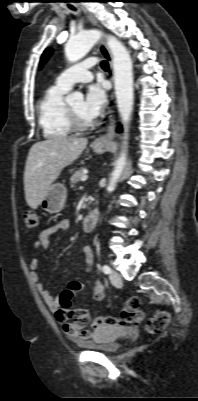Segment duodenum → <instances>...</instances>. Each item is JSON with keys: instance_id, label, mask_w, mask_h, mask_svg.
I'll return each mask as SVG.
<instances>
[{"instance_id": "duodenum-1", "label": "duodenum", "mask_w": 198, "mask_h": 401, "mask_svg": "<svg viewBox=\"0 0 198 401\" xmlns=\"http://www.w3.org/2000/svg\"><path fill=\"white\" fill-rule=\"evenodd\" d=\"M99 218V211L93 209L87 216L84 217L82 221V228L86 232H90L94 229Z\"/></svg>"}]
</instances>
